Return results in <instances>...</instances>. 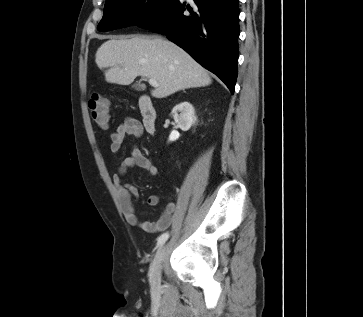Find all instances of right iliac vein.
Returning <instances> with one entry per match:
<instances>
[{"mask_svg":"<svg viewBox=\"0 0 363 317\" xmlns=\"http://www.w3.org/2000/svg\"><path fill=\"white\" fill-rule=\"evenodd\" d=\"M165 252H166V246L163 245L159 248V250L154 258L152 273H151V277H150L152 290H157L159 288L160 280H161L162 262L165 257Z\"/></svg>","mask_w":363,"mask_h":317,"instance_id":"right-iliac-vein-1","label":"right iliac vein"}]
</instances>
